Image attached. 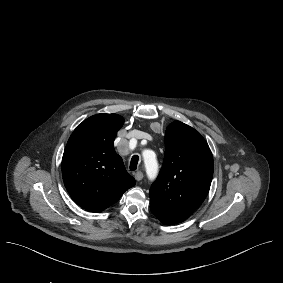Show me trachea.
I'll list each match as a JSON object with an SVG mask.
<instances>
[{
  "instance_id": "trachea-1",
  "label": "trachea",
  "mask_w": 283,
  "mask_h": 283,
  "mask_svg": "<svg viewBox=\"0 0 283 283\" xmlns=\"http://www.w3.org/2000/svg\"><path fill=\"white\" fill-rule=\"evenodd\" d=\"M138 162H139V157H138L137 155H134V156L131 158V162H130L129 169H130L131 171L136 170V169H137Z\"/></svg>"
}]
</instances>
